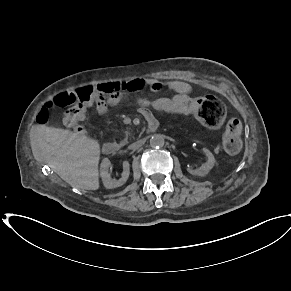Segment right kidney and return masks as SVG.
I'll list each match as a JSON object with an SVG mask.
<instances>
[{
  "label": "right kidney",
  "instance_id": "ca27d5eb",
  "mask_svg": "<svg viewBox=\"0 0 291 291\" xmlns=\"http://www.w3.org/2000/svg\"><path fill=\"white\" fill-rule=\"evenodd\" d=\"M111 167V162L108 158H104L100 165V176L102 178V182L107 189H113L116 187H120L127 181L130 174V166L128 161L123 162V173L122 177L119 180H115L111 178L109 168Z\"/></svg>",
  "mask_w": 291,
  "mask_h": 291
}]
</instances>
